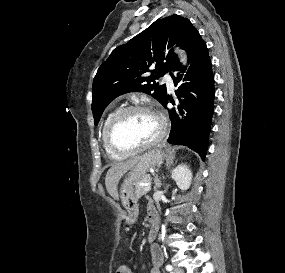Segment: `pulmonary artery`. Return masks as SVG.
Returning <instances> with one entry per match:
<instances>
[{
    "label": "pulmonary artery",
    "mask_w": 285,
    "mask_h": 273,
    "mask_svg": "<svg viewBox=\"0 0 285 273\" xmlns=\"http://www.w3.org/2000/svg\"><path fill=\"white\" fill-rule=\"evenodd\" d=\"M163 80L167 83V86L170 90H173L174 89V85H173V80H172V77L169 73H166L164 76H163Z\"/></svg>",
    "instance_id": "obj_1"
}]
</instances>
